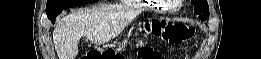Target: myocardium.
<instances>
[{
	"mask_svg": "<svg viewBox=\"0 0 261 59\" xmlns=\"http://www.w3.org/2000/svg\"><path fill=\"white\" fill-rule=\"evenodd\" d=\"M160 3L162 2H166V1H159ZM168 10L172 11L173 9H171L170 7L167 8Z\"/></svg>",
	"mask_w": 261,
	"mask_h": 59,
	"instance_id": "obj_1",
	"label": "myocardium"
}]
</instances>
